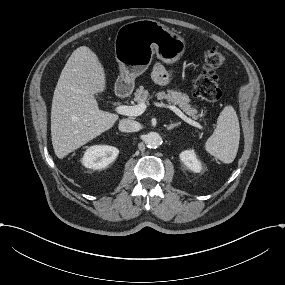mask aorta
I'll list each match as a JSON object with an SVG mask.
<instances>
[{"label":"aorta","mask_w":285,"mask_h":285,"mask_svg":"<svg viewBox=\"0 0 285 285\" xmlns=\"http://www.w3.org/2000/svg\"><path fill=\"white\" fill-rule=\"evenodd\" d=\"M144 141L149 148H157L162 144V138L157 132H149L146 134Z\"/></svg>","instance_id":"1"}]
</instances>
